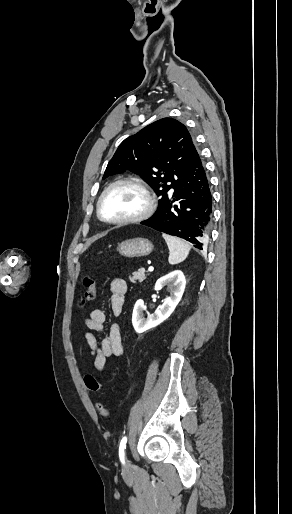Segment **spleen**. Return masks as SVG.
Wrapping results in <instances>:
<instances>
[{"mask_svg":"<svg viewBox=\"0 0 292 514\" xmlns=\"http://www.w3.org/2000/svg\"><path fill=\"white\" fill-rule=\"evenodd\" d=\"M163 238L169 248V264H180L186 260L191 248L185 240L174 238V236H167L163 234Z\"/></svg>","mask_w":292,"mask_h":514,"instance_id":"spleen-1","label":"spleen"}]
</instances>
